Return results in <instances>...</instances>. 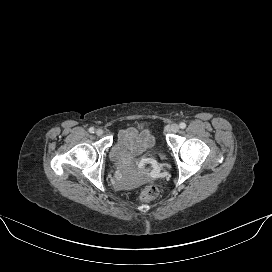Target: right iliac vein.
I'll use <instances>...</instances> for the list:
<instances>
[{
  "instance_id": "63e3f726",
  "label": "right iliac vein",
  "mask_w": 272,
  "mask_h": 272,
  "mask_svg": "<svg viewBox=\"0 0 272 272\" xmlns=\"http://www.w3.org/2000/svg\"><path fill=\"white\" fill-rule=\"evenodd\" d=\"M103 134V130L102 129H97L96 130V135L97 136H101Z\"/></svg>"
}]
</instances>
